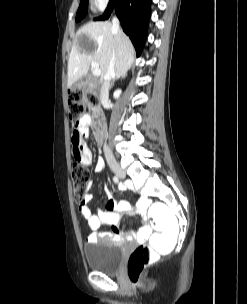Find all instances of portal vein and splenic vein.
Wrapping results in <instances>:
<instances>
[{
	"mask_svg": "<svg viewBox=\"0 0 247 304\" xmlns=\"http://www.w3.org/2000/svg\"><path fill=\"white\" fill-rule=\"evenodd\" d=\"M91 67H92V69H93V74H94L95 76L101 75V70H100V68H99L98 63L92 62V63H91Z\"/></svg>",
	"mask_w": 247,
	"mask_h": 304,
	"instance_id": "18ae733b",
	"label": "portal vein and splenic vein"
}]
</instances>
